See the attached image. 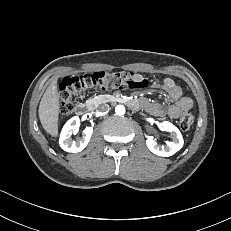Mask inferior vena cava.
Instances as JSON below:
<instances>
[{
	"label": "inferior vena cava",
	"mask_w": 231,
	"mask_h": 231,
	"mask_svg": "<svg viewBox=\"0 0 231 231\" xmlns=\"http://www.w3.org/2000/svg\"><path fill=\"white\" fill-rule=\"evenodd\" d=\"M110 107L108 104H102L97 108V111L101 113L102 115H105L109 112Z\"/></svg>",
	"instance_id": "obj_1"
}]
</instances>
